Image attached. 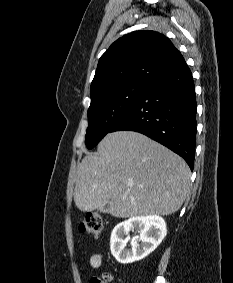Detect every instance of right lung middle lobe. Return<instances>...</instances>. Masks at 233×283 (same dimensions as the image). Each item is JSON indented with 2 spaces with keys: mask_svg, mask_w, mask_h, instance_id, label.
I'll return each instance as SVG.
<instances>
[{
  "mask_svg": "<svg viewBox=\"0 0 233 283\" xmlns=\"http://www.w3.org/2000/svg\"><path fill=\"white\" fill-rule=\"evenodd\" d=\"M149 83L131 82L98 94L88 109L89 124L85 136L88 149L95 147L120 121Z\"/></svg>",
  "mask_w": 233,
  "mask_h": 283,
  "instance_id": "obj_1",
  "label": "right lung middle lobe"
}]
</instances>
